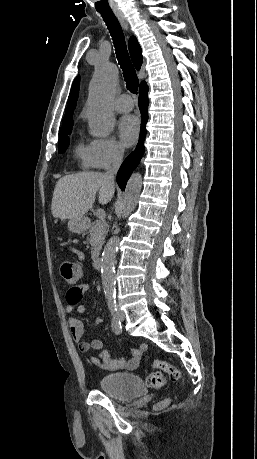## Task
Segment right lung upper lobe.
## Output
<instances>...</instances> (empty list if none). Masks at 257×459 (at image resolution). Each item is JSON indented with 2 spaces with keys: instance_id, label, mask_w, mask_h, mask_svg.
Wrapping results in <instances>:
<instances>
[{
  "instance_id": "1",
  "label": "right lung upper lobe",
  "mask_w": 257,
  "mask_h": 459,
  "mask_svg": "<svg viewBox=\"0 0 257 459\" xmlns=\"http://www.w3.org/2000/svg\"><path fill=\"white\" fill-rule=\"evenodd\" d=\"M129 51H130V56L132 59V62L137 70L140 69L143 57H142V50L140 45L137 42V39L132 36L129 40ZM79 77L76 78L72 90L70 92L69 98H68V107L66 109L65 117L63 118L62 121V128L59 129L60 131L72 128L73 126V111L76 107V101L78 98V89H79Z\"/></svg>"
}]
</instances>
